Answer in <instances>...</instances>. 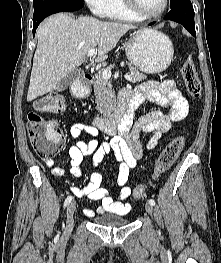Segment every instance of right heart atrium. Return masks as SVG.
I'll return each mask as SVG.
<instances>
[{
    "instance_id": "d8ad5b80",
    "label": "right heart atrium",
    "mask_w": 221,
    "mask_h": 263,
    "mask_svg": "<svg viewBox=\"0 0 221 263\" xmlns=\"http://www.w3.org/2000/svg\"><path fill=\"white\" fill-rule=\"evenodd\" d=\"M90 11L96 16H104L107 13L110 0H84Z\"/></svg>"
}]
</instances>
